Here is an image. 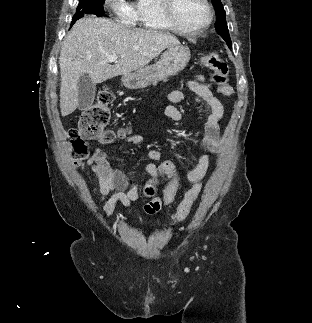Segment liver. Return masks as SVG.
<instances>
[{"mask_svg": "<svg viewBox=\"0 0 312 323\" xmlns=\"http://www.w3.org/2000/svg\"><path fill=\"white\" fill-rule=\"evenodd\" d=\"M176 44L180 42L172 34L127 28L108 18H81L68 32L60 50L61 116L78 108L80 76L88 74L92 84H102L144 68L165 48ZM113 54L118 60L111 66L107 56Z\"/></svg>", "mask_w": 312, "mask_h": 323, "instance_id": "obj_1", "label": "liver"}]
</instances>
